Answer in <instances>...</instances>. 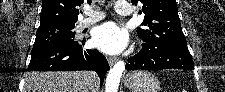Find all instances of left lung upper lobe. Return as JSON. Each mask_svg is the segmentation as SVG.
Masks as SVG:
<instances>
[{
  "label": "left lung upper lobe",
  "instance_id": "obj_1",
  "mask_svg": "<svg viewBox=\"0 0 225 92\" xmlns=\"http://www.w3.org/2000/svg\"><path fill=\"white\" fill-rule=\"evenodd\" d=\"M132 4H143L145 17L137 30L138 36L154 45L187 46L181 29L176 0H131Z\"/></svg>",
  "mask_w": 225,
  "mask_h": 92
}]
</instances>
